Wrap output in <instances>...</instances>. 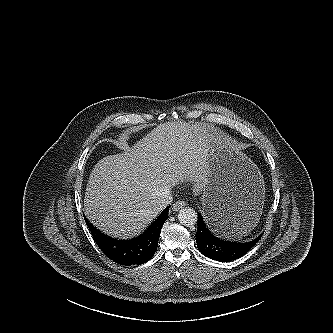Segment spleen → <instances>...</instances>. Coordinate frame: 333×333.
I'll return each instance as SVG.
<instances>
[{
  "instance_id": "3e777b00",
  "label": "spleen",
  "mask_w": 333,
  "mask_h": 333,
  "mask_svg": "<svg viewBox=\"0 0 333 333\" xmlns=\"http://www.w3.org/2000/svg\"><path fill=\"white\" fill-rule=\"evenodd\" d=\"M259 219L260 217L258 218L256 216V211H250L243 217L234 220L227 225L221 235L227 239H239L243 235L250 232L251 229L255 227Z\"/></svg>"
}]
</instances>
